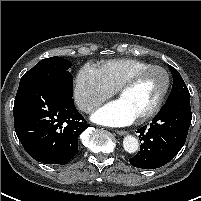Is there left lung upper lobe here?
Wrapping results in <instances>:
<instances>
[{"instance_id": "left-lung-upper-lobe-1", "label": "left lung upper lobe", "mask_w": 201, "mask_h": 201, "mask_svg": "<svg viewBox=\"0 0 201 201\" xmlns=\"http://www.w3.org/2000/svg\"><path fill=\"white\" fill-rule=\"evenodd\" d=\"M168 67L172 73L173 85H172L171 93L167 100L178 97V96H185V95L190 96L188 88L185 82L183 81L181 75L179 74V72L171 65H169Z\"/></svg>"}]
</instances>
